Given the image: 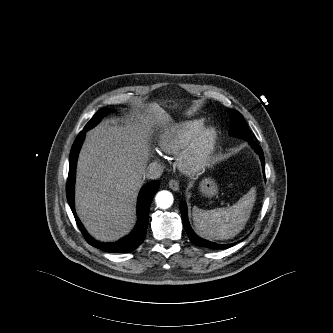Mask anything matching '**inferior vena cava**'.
<instances>
[{
	"mask_svg": "<svg viewBox=\"0 0 333 333\" xmlns=\"http://www.w3.org/2000/svg\"><path fill=\"white\" fill-rule=\"evenodd\" d=\"M163 171H164V169L160 164L151 163L146 168L144 177H146L147 179H158L163 174Z\"/></svg>",
	"mask_w": 333,
	"mask_h": 333,
	"instance_id": "602c4592",
	"label": "inferior vena cava"
}]
</instances>
